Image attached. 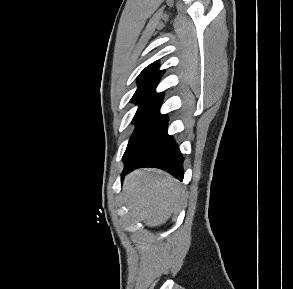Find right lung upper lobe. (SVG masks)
<instances>
[{
    "mask_svg": "<svg viewBox=\"0 0 293 289\" xmlns=\"http://www.w3.org/2000/svg\"><path fill=\"white\" fill-rule=\"evenodd\" d=\"M158 61L148 65L138 76V89L132 97V101H159L163 93H155L156 85L164 74V70H158Z\"/></svg>",
    "mask_w": 293,
    "mask_h": 289,
    "instance_id": "cb5924a9",
    "label": "right lung upper lobe"
}]
</instances>
